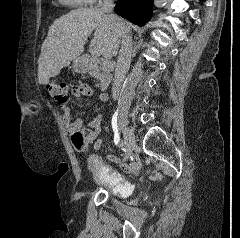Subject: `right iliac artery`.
Masks as SVG:
<instances>
[{
  "label": "right iliac artery",
  "mask_w": 240,
  "mask_h": 238,
  "mask_svg": "<svg viewBox=\"0 0 240 238\" xmlns=\"http://www.w3.org/2000/svg\"><path fill=\"white\" fill-rule=\"evenodd\" d=\"M119 143H120V144H117V145H119V147H121L124 142L121 140Z\"/></svg>",
  "instance_id": "right-iliac-artery-1"
}]
</instances>
